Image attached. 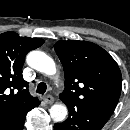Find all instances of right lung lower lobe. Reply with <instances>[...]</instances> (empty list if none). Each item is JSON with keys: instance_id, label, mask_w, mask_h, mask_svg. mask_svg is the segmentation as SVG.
Wrapping results in <instances>:
<instances>
[{"instance_id": "1", "label": "right lung lower lobe", "mask_w": 130, "mask_h": 130, "mask_svg": "<svg viewBox=\"0 0 130 130\" xmlns=\"http://www.w3.org/2000/svg\"><path fill=\"white\" fill-rule=\"evenodd\" d=\"M40 104V103H39ZM38 104V105H39ZM37 105V106H38ZM36 106V107H37ZM32 110V109H31ZM30 111V110H29ZM28 111V112H29ZM24 113L23 115L14 118L12 120L9 121H5L0 123V130H23V126H24V122H25V118H26V114L28 113Z\"/></svg>"}]
</instances>
